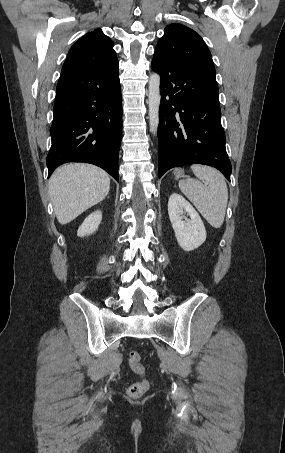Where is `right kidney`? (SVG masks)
I'll use <instances>...</instances> for the list:
<instances>
[{"mask_svg":"<svg viewBox=\"0 0 285 453\" xmlns=\"http://www.w3.org/2000/svg\"><path fill=\"white\" fill-rule=\"evenodd\" d=\"M101 220H102L101 211L97 210V211L91 213L89 216L86 217L84 222L79 227V229L77 231V235L79 237H84V236L94 233L98 229V227L101 223Z\"/></svg>","mask_w":285,"mask_h":453,"instance_id":"right-kidney-1","label":"right kidney"}]
</instances>
